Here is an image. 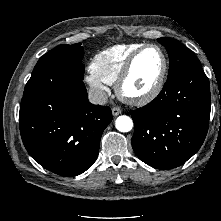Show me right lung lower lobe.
Returning a JSON list of instances; mask_svg holds the SVG:
<instances>
[{
	"label": "right lung lower lobe",
	"mask_w": 221,
	"mask_h": 221,
	"mask_svg": "<svg viewBox=\"0 0 221 221\" xmlns=\"http://www.w3.org/2000/svg\"><path fill=\"white\" fill-rule=\"evenodd\" d=\"M112 121L109 107L88 101L82 80L30 78L20 105L22 141L45 169L70 177L96 160L104 129Z\"/></svg>",
	"instance_id": "98d812e1"
}]
</instances>
